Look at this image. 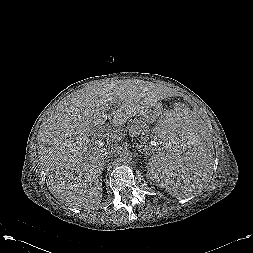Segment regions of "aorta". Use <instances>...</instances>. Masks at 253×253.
Returning <instances> with one entry per match:
<instances>
[{"mask_svg":"<svg viewBox=\"0 0 253 253\" xmlns=\"http://www.w3.org/2000/svg\"><path fill=\"white\" fill-rule=\"evenodd\" d=\"M133 157H134L133 152H131L128 149H121L118 152V158L123 163H128V162L132 161Z\"/></svg>","mask_w":253,"mask_h":253,"instance_id":"762f6f07","label":"aorta"}]
</instances>
